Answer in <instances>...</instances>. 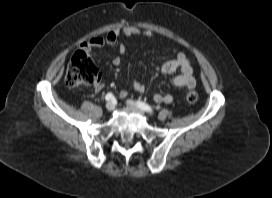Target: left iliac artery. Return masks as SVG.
<instances>
[{
    "instance_id": "1",
    "label": "left iliac artery",
    "mask_w": 272,
    "mask_h": 198,
    "mask_svg": "<svg viewBox=\"0 0 272 198\" xmlns=\"http://www.w3.org/2000/svg\"><path fill=\"white\" fill-rule=\"evenodd\" d=\"M137 105L140 109L149 112V113H153V109L145 102L142 101H137Z\"/></svg>"
}]
</instances>
